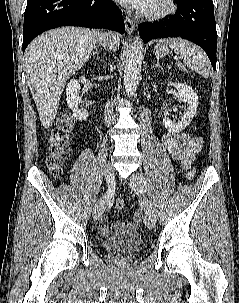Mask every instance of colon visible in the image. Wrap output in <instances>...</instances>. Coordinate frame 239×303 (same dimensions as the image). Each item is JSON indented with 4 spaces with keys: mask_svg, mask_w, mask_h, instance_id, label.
Instances as JSON below:
<instances>
[{
    "mask_svg": "<svg viewBox=\"0 0 239 303\" xmlns=\"http://www.w3.org/2000/svg\"><path fill=\"white\" fill-rule=\"evenodd\" d=\"M73 125L74 120L71 116H63L53 128L48 138L46 165L53 176L59 177L63 174ZM115 207L118 211L124 210V200L118 199ZM134 221L138 223L139 219L135 218Z\"/></svg>",
    "mask_w": 239,
    "mask_h": 303,
    "instance_id": "colon-1",
    "label": "colon"
}]
</instances>
